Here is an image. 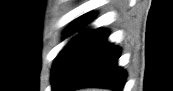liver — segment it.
I'll use <instances>...</instances> for the list:
<instances>
[{"label": "liver", "mask_w": 173, "mask_h": 91, "mask_svg": "<svg viewBox=\"0 0 173 91\" xmlns=\"http://www.w3.org/2000/svg\"><path fill=\"white\" fill-rule=\"evenodd\" d=\"M83 91H101V90L95 89V88H87V89H85Z\"/></svg>", "instance_id": "6515ba94"}]
</instances>
